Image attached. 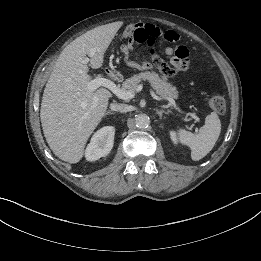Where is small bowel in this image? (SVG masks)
Masks as SVG:
<instances>
[{"mask_svg":"<svg viewBox=\"0 0 261 261\" xmlns=\"http://www.w3.org/2000/svg\"><path fill=\"white\" fill-rule=\"evenodd\" d=\"M133 44L134 42L129 39V43L126 45H123L121 47V51L124 55L125 61L136 68L139 69H150L151 65L147 61H142V62H137L134 59H132V53H133ZM183 49V55H180L177 52V48H172V47H167L165 49V54L169 57V63L173 67L170 68L172 70V75L175 74V71L178 70H185L188 67V55H189V50L187 47L183 45H179Z\"/></svg>","mask_w":261,"mask_h":261,"instance_id":"obj_1","label":"small bowel"}]
</instances>
